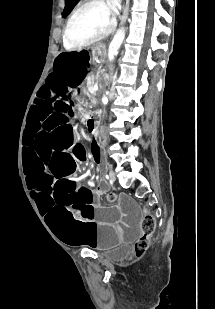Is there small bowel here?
Wrapping results in <instances>:
<instances>
[{
    "label": "small bowel",
    "instance_id": "obj_1",
    "mask_svg": "<svg viewBox=\"0 0 215 309\" xmlns=\"http://www.w3.org/2000/svg\"><path fill=\"white\" fill-rule=\"evenodd\" d=\"M93 146L98 148V144L95 141H93ZM105 189H106V186L105 185H101L98 188H96L95 190H93L94 197L96 199H98L99 196L105 191Z\"/></svg>",
    "mask_w": 215,
    "mask_h": 309
}]
</instances>
